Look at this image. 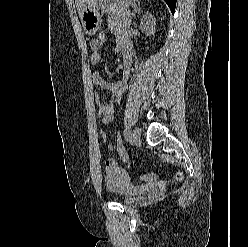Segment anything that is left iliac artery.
Masks as SVG:
<instances>
[{"mask_svg":"<svg viewBox=\"0 0 248 247\" xmlns=\"http://www.w3.org/2000/svg\"><path fill=\"white\" fill-rule=\"evenodd\" d=\"M124 135L125 137H128L130 135V130L128 128L125 129Z\"/></svg>","mask_w":248,"mask_h":247,"instance_id":"44dca946","label":"left iliac artery"}]
</instances>
